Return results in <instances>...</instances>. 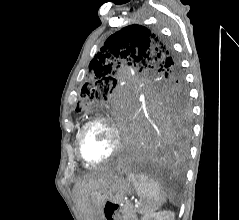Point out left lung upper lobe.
Masks as SVG:
<instances>
[{
    "label": "left lung upper lobe",
    "mask_w": 239,
    "mask_h": 220,
    "mask_svg": "<svg viewBox=\"0 0 239 220\" xmlns=\"http://www.w3.org/2000/svg\"><path fill=\"white\" fill-rule=\"evenodd\" d=\"M147 72L151 82L134 84L119 79L122 64ZM123 118L132 110L190 112L184 75L171 46L155 31L129 25L111 35L89 64L76 112Z\"/></svg>",
    "instance_id": "obj_1"
}]
</instances>
